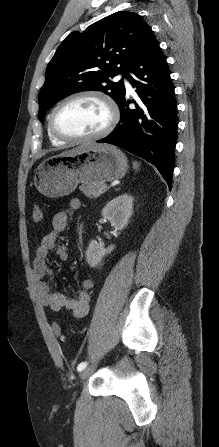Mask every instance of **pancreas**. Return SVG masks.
I'll use <instances>...</instances> for the list:
<instances>
[{"label": "pancreas", "mask_w": 219, "mask_h": 447, "mask_svg": "<svg viewBox=\"0 0 219 447\" xmlns=\"http://www.w3.org/2000/svg\"><path fill=\"white\" fill-rule=\"evenodd\" d=\"M105 184H82L79 189L89 198H97L105 192Z\"/></svg>", "instance_id": "cf45deb5"}]
</instances>
